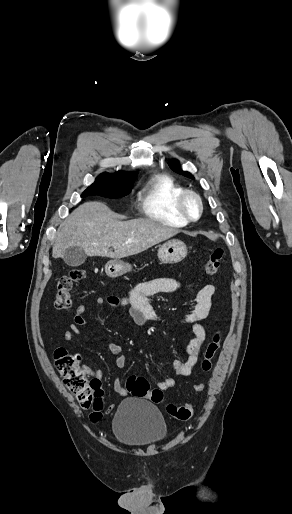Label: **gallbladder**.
<instances>
[{
    "label": "gallbladder",
    "instance_id": "1",
    "mask_svg": "<svg viewBox=\"0 0 292 514\" xmlns=\"http://www.w3.org/2000/svg\"><path fill=\"white\" fill-rule=\"evenodd\" d=\"M86 258L87 256L83 248H80V246H69L63 254L65 264H67V266H73V268L84 264Z\"/></svg>",
    "mask_w": 292,
    "mask_h": 514
}]
</instances>
